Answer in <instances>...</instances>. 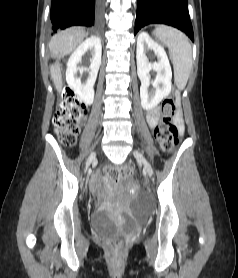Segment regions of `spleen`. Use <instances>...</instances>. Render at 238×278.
<instances>
[{
	"label": "spleen",
	"mask_w": 238,
	"mask_h": 278,
	"mask_svg": "<svg viewBox=\"0 0 238 278\" xmlns=\"http://www.w3.org/2000/svg\"><path fill=\"white\" fill-rule=\"evenodd\" d=\"M153 34L168 47L176 86L179 90H183L192 69V48L187 36L175 28L164 25L157 26Z\"/></svg>",
	"instance_id": "obj_1"
}]
</instances>
